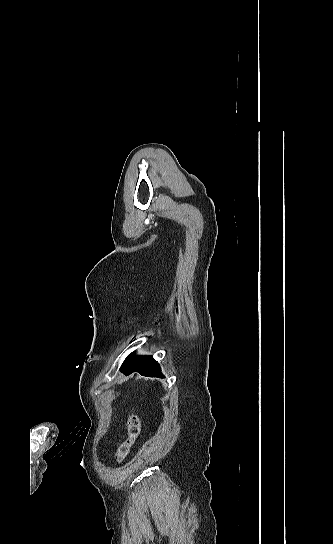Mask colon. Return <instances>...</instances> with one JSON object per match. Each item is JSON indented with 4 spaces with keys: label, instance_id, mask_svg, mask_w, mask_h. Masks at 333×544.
<instances>
[{
    "label": "colon",
    "instance_id": "colon-1",
    "mask_svg": "<svg viewBox=\"0 0 333 544\" xmlns=\"http://www.w3.org/2000/svg\"><path fill=\"white\" fill-rule=\"evenodd\" d=\"M127 431L128 436L126 440L118 446L115 453L113 454V458L116 463H121L125 460L131 448L134 446L135 442L139 438L141 432V422L137 414L130 413L127 416Z\"/></svg>",
    "mask_w": 333,
    "mask_h": 544
}]
</instances>
